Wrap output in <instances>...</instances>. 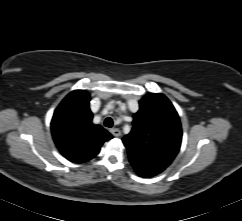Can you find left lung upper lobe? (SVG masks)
I'll return each mask as SVG.
<instances>
[{"label":"left lung upper lobe","mask_w":242,"mask_h":221,"mask_svg":"<svg viewBox=\"0 0 242 221\" xmlns=\"http://www.w3.org/2000/svg\"><path fill=\"white\" fill-rule=\"evenodd\" d=\"M133 118V129L123 138L129 157L169 166L182 139L180 119L172 103L161 93H151L140 100Z\"/></svg>","instance_id":"1"}]
</instances>
